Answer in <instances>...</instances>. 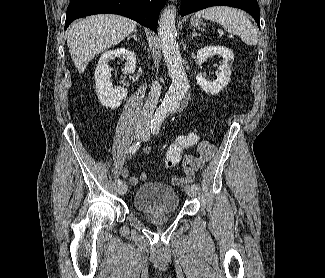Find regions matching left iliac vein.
Returning <instances> with one entry per match:
<instances>
[{"label": "left iliac vein", "mask_w": 325, "mask_h": 278, "mask_svg": "<svg viewBox=\"0 0 325 278\" xmlns=\"http://www.w3.org/2000/svg\"><path fill=\"white\" fill-rule=\"evenodd\" d=\"M150 137L149 132L147 131L143 136H142V140L143 141H147ZM185 192L188 196L190 197H195L197 195V190L192 188L191 186H185Z\"/></svg>", "instance_id": "left-iliac-vein-1"}]
</instances>
